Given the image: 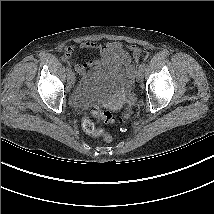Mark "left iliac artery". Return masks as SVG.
<instances>
[{"label": "left iliac artery", "instance_id": "44dca946", "mask_svg": "<svg viewBox=\"0 0 214 214\" xmlns=\"http://www.w3.org/2000/svg\"><path fill=\"white\" fill-rule=\"evenodd\" d=\"M144 68H145V64L144 63H142V64L139 65V69L140 70H144Z\"/></svg>", "mask_w": 214, "mask_h": 214}]
</instances>
